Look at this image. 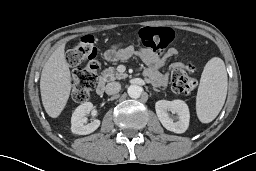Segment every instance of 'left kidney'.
Instances as JSON below:
<instances>
[{
  "mask_svg": "<svg viewBox=\"0 0 256 171\" xmlns=\"http://www.w3.org/2000/svg\"><path fill=\"white\" fill-rule=\"evenodd\" d=\"M156 114L162 125L174 133H184L189 126L188 105L182 100H159L155 104ZM176 114V118L170 113ZM176 119V121H175Z\"/></svg>",
  "mask_w": 256,
  "mask_h": 171,
  "instance_id": "obj_1",
  "label": "left kidney"
}]
</instances>
